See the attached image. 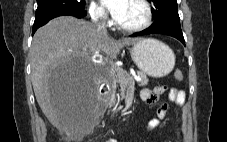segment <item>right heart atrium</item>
<instances>
[{
    "instance_id": "right-heart-atrium-1",
    "label": "right heart atrium",
    "mask_w": 227,
    "mask_h": 142,
    "mask_svg": "<svg viewBox=\"0 0 227 142\" xmlns=\"http://www.w3.org/2000/svg\"><path fill=\"white\" fill-rule=\"evenodd\" d=\"M89 15L92 21L99 23V24H105L107 22V15L104 11V9L99 6L98 4L92 2L89 5Z\"/></svg>"
}]
</instances>
